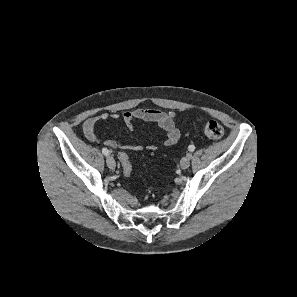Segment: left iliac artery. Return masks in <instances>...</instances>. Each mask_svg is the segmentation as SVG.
<instances>
[{
  "mask_svg": "<svg viewBox=\"0 0 297 297\" xmlns=\"http://www.w3.org/2000/svg\"><path fill=\"white\" fill-rule=\"evenodd\" d=\"M188 149H189V151L193 152V151L195 150V146H194V145H190V146L188 147ZM187 155L189 156V158L192 157L191 154H187Z\"/></svg>",
  "mask_w": 297,
  "mask_h": 297,
  "instance_id": "44dca946",
  "label": "left iliac artery"
}]
</instances>
